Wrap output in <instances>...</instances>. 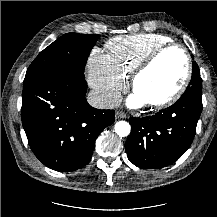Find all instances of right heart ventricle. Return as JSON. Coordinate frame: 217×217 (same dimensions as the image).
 <instances>
[{
  "mask_svg": "<svg viewBox=\"0 0 217 217\" xmlns=\"http://www.w3.org/2000/svg\"><path fill=\"white\" fill-rule=\"evenodd\" d=\"M171 42L170 37L155 33L117 36L106 43L107 57L112 68L128 78L153 50Z\"/></svg>",
  "mask_w": 217,
  "mask_h": 217,
  "instance_id": "e07e8e85",
  "label": "right heart ventricle"
}]
</instances>
